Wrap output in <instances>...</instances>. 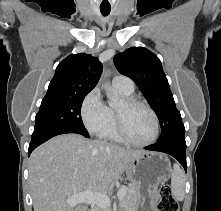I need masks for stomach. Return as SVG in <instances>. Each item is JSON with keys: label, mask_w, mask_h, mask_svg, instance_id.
Wrapping results in <instances>:
<instances>
[{"label": "stomach", "mask_w": 221, "mask_h": 211, "mask_svg": "<svg viewBox=\"0 0 221 211\" xmlns=\"http://www.w3.org/2000/svg\"><path fill=\"white\" fill-rule=\"evenodd\" d=\"M126 172L138 190L137 210L143 211L147 198L155 194L159 184L170 178L172 170L163 154L144 152L129 162Z\"/></svg>", "instance_id": "1"}]
</instances>
